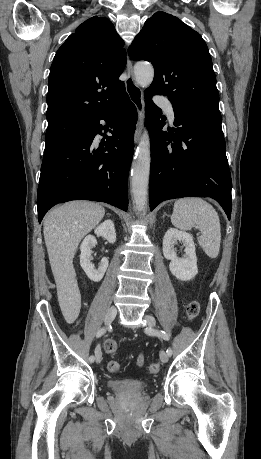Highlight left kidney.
Masks as SVG:
<instances>
[{
    "mask_svg": "<svg viewBox=\"0 0 261 459\" xmlns=\"http://www.w3.org/2000/svg\"><path fill=\"white\" fill-rule=\"evenodd\" d=\"M182 242L185 247V254L179 258L175 251V244ZM163 255L170 260L169 269L171 273L181 281L193 279L197 273V257L195 244L191 234L170 228L163 238Z\"/></svg>",
    "mask_w": 261,
    "mask_h": 459,
    "instance_id": "left-kidney-1",
    "label": "left kidney"
}]
</instances>
